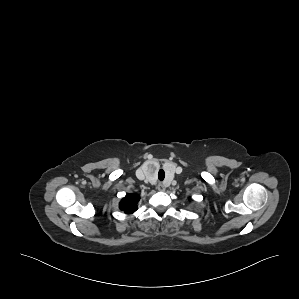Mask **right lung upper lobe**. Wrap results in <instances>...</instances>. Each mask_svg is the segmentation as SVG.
Masks as SVG:
<instances>
[{
	"mask_svg": "<svg viewBox=\"0 0 299 299\" xmlns=\"http://www.w3.org/2000/svg\"><path fill=\"white\" fill-rule=\"evenodd\" d=\"M140 196L137 194H127L120 202L119 208L126 214H132L138 209L137 203Z\"/></svg>",
	"mask_w": 299,
	"mask_h": 299,
	"instance_id": "obj_1",
	"label": "right lung upper lobe"
}]
</instances>
